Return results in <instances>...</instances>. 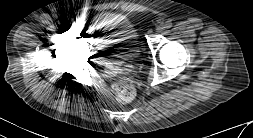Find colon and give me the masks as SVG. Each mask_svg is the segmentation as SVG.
<instances>
[{"instance_id":"colon-1","label":"colon","mask_w":253,"mask_h":138,"mask_svg":"<svg viewBox=\"0 0 253 138\" xmlns=\"http://www.w3.org/2000/svg\"><path fill=\"white\" fill-rule=\"evenodd\" d=\"M112 91L120 103L130 102L135 96L133 84L125 78L118 79L112 84Z\"/></svg>"}]
</instances>
